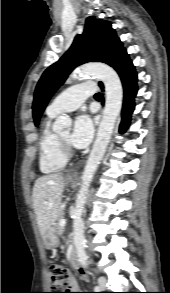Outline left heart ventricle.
Masks as SVG:
<instances>
[{"label": "left heart ventricle", "instance_id": "1", "mask_svg": "<svg viewBox=\"0 0 170 293\" xmlns=\"http://www.w3.org/2000/svg\"><path fill=\"white\" fill-rule=\"evenodd\" d=\"M63 140L68 141L70 137V131H64L58 134Z\"/></svg>", "mask_w": 170, "mask_h": 293}]
</instances>
